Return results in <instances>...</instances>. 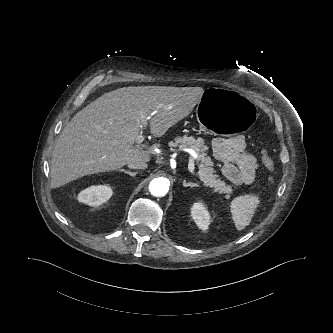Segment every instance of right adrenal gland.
I'll return each instance as SVG.
<instances>
[{
	"label": "right adrenal gland",
	"instance_id": "1",
	"mask_svg": "<svg viewBox=\"0 0 333 333\" xmlns=\"http://www.w3.org/2000/svg\"><path fill=\"white\" fill-rule=\"evenodd\" d=\"M119 172H124L132 177L136 176L137 172H131V171H128V170H125V169H120Z\"/></svg>",
	"mask_w": 333,
	"mask_h": 333
}]
</instances>
